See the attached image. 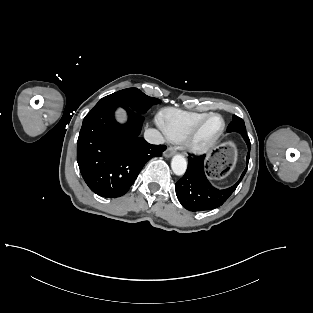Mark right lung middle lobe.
I'll list each match as a JSON object with an SVG mask.
<instances>
[{
    "mask_svg": "<svg viewBox=\"0 0 313 313\" xmlns=\"http://www.w3.org/2000/svg\"><path fill=\"white\" fill-rule=\"evenodd\" d=\"M157 103H159V99L149 97L137 88H127L100 99L94 108L102 105H117L129 107L142 114Z\"/></svg>",
    "mask_w": 313,
    "mask_h": 313,
    "instance_id": "1",
    "label": "right lung middle lobe"
}]
</instances>
